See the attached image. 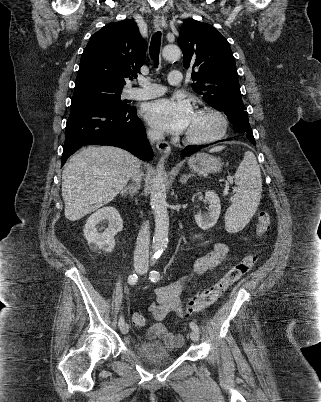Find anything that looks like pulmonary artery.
I'll list each match as a JSON object with an SVG mask.
<instances>
[{"instance_id": "e3ab8cb5", "label": "pulmonary artery", "mask_w": 321, "mask_h": 402, "mask_svg": "<svg viewBox=\"0 0 321 402\" xmlns=\"http://www.w3.org/2000/svg\"><path fill=\"white\" fill-rule=\"evenodd\" d=\"M168 82L172 86L180 85L182 82V74L178 70L171 71L168 76ZM140 88L133 89L130 92V98L135 100H147L156 98L166 92L164 86L155 84L148 79L141 78L139 80Z\"/></svg>"}]
</instances>
